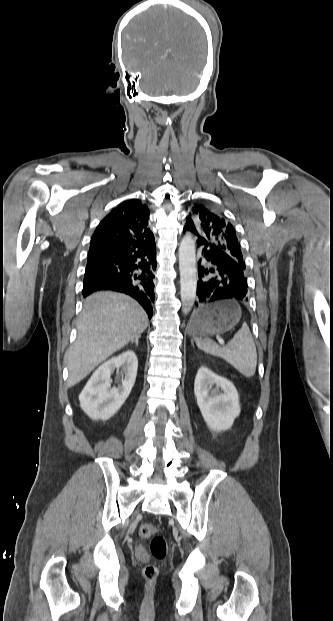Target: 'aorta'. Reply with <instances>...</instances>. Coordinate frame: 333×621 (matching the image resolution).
I'll return each mask as SVG.
<instances>
[{
    "instance_id": "762f6f07",
    "label": "aorta",
    "mask_w": 333,
    "mask_h": 621,
    "mask_svg": "<svg viewBox=\"0 0 333 621\" xmlns=\"http://www.w3.org/2000/svg\"><path fill=\"white\" fill-rule=\"evenodd\" d=\"M179 270L182 311L187 314L194 305L197 287L195 242L188 234L183 237L180 243Z\"/></svg>"
}]
</instances>
